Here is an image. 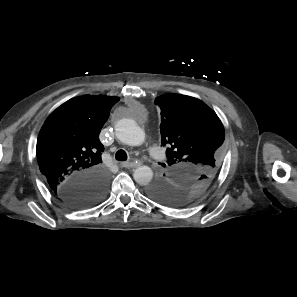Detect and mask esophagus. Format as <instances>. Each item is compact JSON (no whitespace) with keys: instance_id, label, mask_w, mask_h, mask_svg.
Instances as JSON below:
<instances>
[{"instance_id":"obj_1","label":"esophagus","mask_w":297,"mask_h":297,"mask_svg":"<svg viewBox=\"0 0 297 297\" xmlns=\"http://www.w3.org/2000/svg\"><path fill=\"white\" fill-rule=\"evenodd\" d=\"M121 166H123L125 168H135V167L139 166V164L136 162H122Z\"/></svg>"}]
</instances>
